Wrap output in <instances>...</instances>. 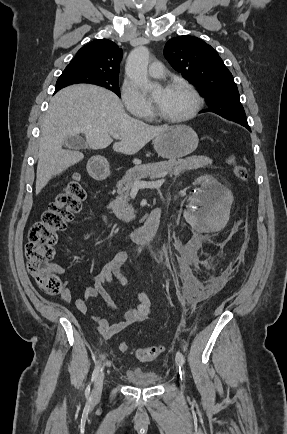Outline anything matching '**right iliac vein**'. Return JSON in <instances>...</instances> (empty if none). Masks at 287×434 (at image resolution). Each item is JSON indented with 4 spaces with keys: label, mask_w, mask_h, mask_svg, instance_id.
<instances>
[{
    "label": "right iliac vein",
    "mask_w": 287,
    "mask_h": 434,
    "mask_svg": "<svg viewBox=\"0 0 287 434\" xmlns=\"http://www.w3.org/2000/svg\"><path fill=\"white\" fill-rule=\"evenodd\" d=\"M104 378H105V373L104 372L100 373L96 380L95 387L93 390V399H98L101 396L103 390Z\"/></svg>",
    "instance_id": "obj_1"
}]
</instances>
